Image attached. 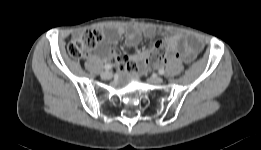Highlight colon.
<instances>
[{
  "label": "colon",
  "instance_id": "5ec220e1",
  "mask_svg": "<svg viewBox=\"0 0 261 150\" xmlns=\"http://www.w3.org/2000/svg\"><path fill=\"white\" fill-rule=\"evenodd\" d=\"M104 34L99 30H86L68 44V53L72 58L81 59L88 55L102 40ZM176 52L166 41H158L148 52L145 65L157 66L176 57Z\"/></svg>",
  "mask_w": 261,
  "mask_h": 150
}]
</instances>
